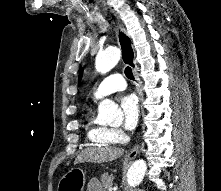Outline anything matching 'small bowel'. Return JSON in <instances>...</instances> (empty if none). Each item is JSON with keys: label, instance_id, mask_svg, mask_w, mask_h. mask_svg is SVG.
<instances>
[{"label": "small bowel", "instance_id": "1", "mask_svg": "<svg viewBox=\"0 0 221 191\" xmlns=\"http://www.w3.org/2000/svg\"><path fill=\"white\" fill-rule=\"evenodd\" d=\"M87 191H104L99 180L96 178L90 179L87 184Z\"/></svg>", "mask_w": 221, "mask_h": 191}]
</instances>
